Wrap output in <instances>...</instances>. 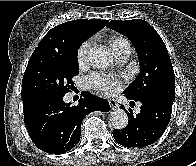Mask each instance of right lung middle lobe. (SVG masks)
Instances as JSON below:
<instances>
[{
    "label": "right lung middle lobe",
    "instance_id": "dd1d6c3e",
    "mask_svg": "<svg viewBox=\"0 0 196 166\" xmlns=\"http://www.w3.org/2000/svg\"><path fill=\"white\" fill-rule=\"evenodd\" d=\"M81 43L66 51L38 48L30 57L22 79V98L29 96H64L79 73L77 51Z\"/></svg>",
    "mask_w": 196,
    "mask_h": 166
}]
</instances>
